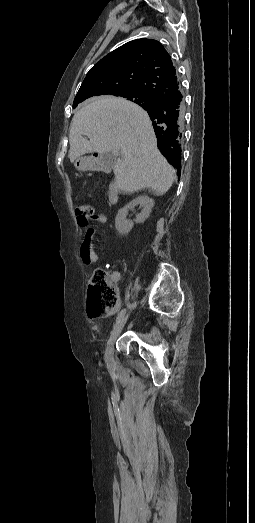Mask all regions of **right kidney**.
I'll list each match as a JSON object with an SVG mask.
<instances>
[{"label": "right kidney", "mask_w": 255, "mask_h": 523, "mask_svg": "<svg viewBox=\"0 0 255 523\" xmlns=\"http://www.w3.org/2000/svg\"><path fill=\"white\" fill-rule=\"evenodd\" d=\"M138 204H141L144 210H142L141 214H137L135 220L136 224H141V222H145V220L149 218L150 212L154 206V200L149 198V196H138V198L132 200L130 204H127V206L118 210V214L115 218V226L119 234H129L131 228H133L134 224L133 222H130V220H126V214L128 210H132V208H135Z\"/></svg>", "instance_id": "right-kidney-1"}]
</instances>
